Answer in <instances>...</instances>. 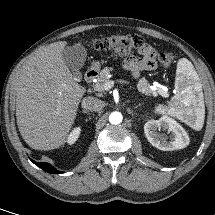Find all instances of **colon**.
I'll list each match as a JSON object with an SVG mask.
<instances>
[{
    "mask_svg": "<svg viewBox=\"0 0 215 215\" xmlns=\"http://www.w3.org/2000/svg\"><path fill=\"white\" fill-rule=\"evenodd\" d=\"M92 46L96 50L112 51L119 55H130L135 51H140L144 47V41L139 35L119 34L95 39L92 41ZM159 60L163 66L168 67L174 62L175 55L172 52L161 53Z\"/></svg>",
    "mask_w": 215,
    "mask_h": 215,
    "instance_id": "5ec220e1",
    "label": "colon"
}]
</instances>
